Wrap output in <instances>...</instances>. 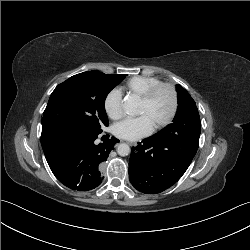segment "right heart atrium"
<instances>
[{
    "instance_id": "right-heart-atrium-1",
    "label": "right heart atrium",
    "mask_w": 250,
    "mask_h": 250,
    "mask_svg": "<svg viewBox=\"0 0 250 250\" xmlns=\"http://www.w3.org/2000/svg\"><path fill=\"white\" fill-rule=\"evenodd\" d=\"M122 95L119 90L113 89L109 91L103 101V108L106 115L112 119L117 120L122 116Z\"/></svg>"
}]
</instances>
